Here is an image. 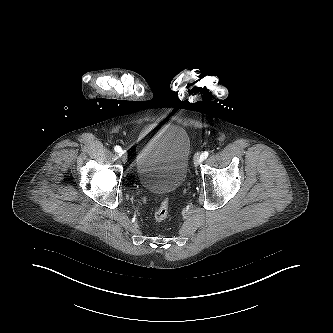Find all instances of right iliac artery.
Here are the masks:
<instances>
[{
    "mask_svg": "<svg viewBox=\"0 0 333 333\" xmlns=\"http://www.w3.org/2000/svg\"><path fill=\"white\" fill-rule=\"evenodd\" d=\"M114 150H115L116 152H118L119 154H121V152H122V149H121L120 146H115V147H114Z\"/></svg>",
    "mask_w": 333,
    "mask_h": 333,
    "instance_id": "82829eb1",
    "label": "right iliac artery"
}]
</instances>
